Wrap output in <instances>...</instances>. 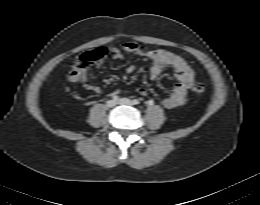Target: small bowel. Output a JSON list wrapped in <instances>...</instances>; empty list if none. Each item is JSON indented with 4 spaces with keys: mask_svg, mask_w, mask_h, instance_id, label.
Segmentation results:
<instances>
[{
    "mask_svg": "<svg viewBox=\"0 0 260 205\" xmlns=\"http://www.w3.org/2000/svg\"><path fill=\"white\" fill-rule=\"evenodd\" d=\"M123 52L146 58L150 63L149 75L152 78L159 76L166 68H172L175 72L177 84L174 90L162 99L161 104L167 109H172L184 104L188 90L194 81V71L180 54L164 50H150L147 47L140 46L133 42H127L120 48L114 47L111 49L112 57L116 60L122 58ZM134 70V65L127 67V72L129 73ZM66 80L72 83H81L87 90L93 93H101V88L92 83L87 70L78 68L74 64H70V70L66 74ZM136 91L141 95L147 94V90L144 86H138ZM119 94V91L114 92V95Z\"/></svg>",
    "mask_w": 260,
    "mask_h": 205,
    "instance_id": "1",
    "label": "small bowel"
}]
</instances>
